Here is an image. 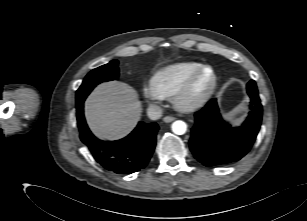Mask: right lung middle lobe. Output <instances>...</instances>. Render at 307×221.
<instances>
[{
	"label": "right lung middle lobe",
	"mask_w": 307,
	"mask_h": 221,
	"mask_svg": "<svg viewBox=\"0 0 307 221\" xmlns=\"http://www.w3.org/2000/svg\"><path fill=\"white\" fill-rule=\"evenodd\" d=\"M119 75L118 61L112 60L108 64L100 66L91 72L83 80L82 85L76 93V104L79 105L84 102L93 88L104 81L116 80Z\"/></svg>",
	"instance_id": "1"
}]
</instances>
